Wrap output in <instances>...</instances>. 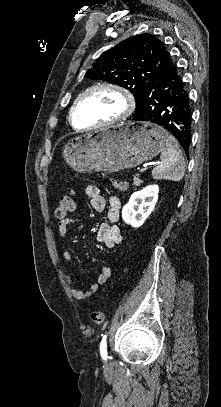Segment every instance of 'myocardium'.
Wrapping results in <instances>:
<instances>
[{"instance_id":"obj_1","label":"myocardium","mask_w":221,"mask_h":407,"mask_svg":"<svg viewBox=\"0 0 221 407\" xmlns=\"http://www.w3.org/2000/svg\"><path fill=\"white\" fill-rule=\"evenodd\" d=\"M98 90H113V91L119 93L122 96L124 103H125L124 111L119 116H117L111 120L105 121L103 123H100L97 126H94L91 128H86V129L77 128L75 126V112H76L78 106L88 95H90L91 93L98 91ZM134 109H135V100H134L132 93L129 91V89H127L126 87H124L122 85H118V84L101 83V84L91 86L90 88L86 89L83 93H81L76 98V100L73 103V106L71 107L70 112H69V121H70L71 125L79 131H91V130L98 129V128L106 126V125L118 123V122L126 119L128 116H130L132 114Z\"/></svg>"}]
</instances>
